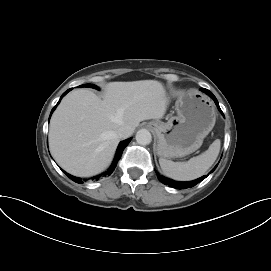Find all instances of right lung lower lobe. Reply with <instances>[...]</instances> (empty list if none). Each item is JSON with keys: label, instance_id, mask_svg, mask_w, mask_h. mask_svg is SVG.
Here are the masks:
<instances>
[{"label": "right lung lower lobe", "instance_id": "1", "mask_svg": "<svg viewBox=\"0 0 271 271\" xmlns=\"http://www.w3.org/2000/svg\"><path fill=\"white\" fill-rule=\"evenodd\" d=\"M71 89H72V88H71ZM71 89L67 90V91L61 96V98H62L65 94H67ZM61 98H60L59 102L61 101ZM59 102L54 106V108H53L52 111H51V114H52V112L54 111V109L56 108V106L59 104ZM51 114H50V116H51ZM130 141H131V138H129V139H127V140H124V141H122V142L119 144L118 149H117V152H116L115 159H114V161H113L111 167L109 168V170H108L106 173L103 174L104 176L110 175V174L113 172V170L116 168L117 162H118L119 159L121 158V155H122V153H123L124 148L129 144ZM64 173H65L71 180H73V181L76 182V183H82V182H83L81 178L74 177V176H72V175H70V174H68V173H66V172H64ZM100 176H101V175L95 176V177H93L92 179H94V178H99Z\"/></svg>", "mask_w": 271, "mask_h": 271}]
</instances>
